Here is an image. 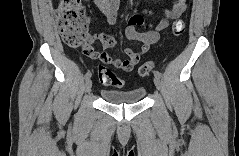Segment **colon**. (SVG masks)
<instances>
[{
	"instance_id": "obj_1",
	"label": "colon",
	"mask_w": 239,
	"mask_h": 156,
	"mask_svg": "<svg viewBox=\"0 0 239 156\" xmlns=\"http://www.w3.org/2000/svg\"><path fill=\"white\" fill-rule=\"evenodd\" d=\"M58 27L63 41L71 47L87 48L89 42L88 24L83 5L79 0H61L56 9ZM185 31L183 21H176L172 27V36L179 37ZM155 67L147 62L139 68V75L146 76ZM98 76L102 83L122 87L124 82L117 78L106 66H99Z\"/></svg>"
}]
</instances>
